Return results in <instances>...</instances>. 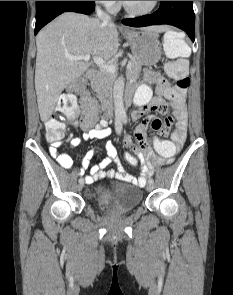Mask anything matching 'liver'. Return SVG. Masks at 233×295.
I'll return each instance as SVG.
<instances>
[{
    "instance_id": "1",
    "label": "liver",
    "mask_w": 233,
    "mask_h": 295,
    "mask_svg": "<svg viewBox=\"0 0 233 295\" xmlns=\"http://www.w3.org/2000/svg\"><path fill=\"white\" fill-rule=\"evenodd\" d=\"M152 28L157 32L168 30L165 26ZM36 45L35 90L40 118L46 122L62 91L90 66L88 62L69 60L66 55L112 58L119 46L117 26L84 14L65 12L38 33Z\"/></svg>"
}]
</instances>
